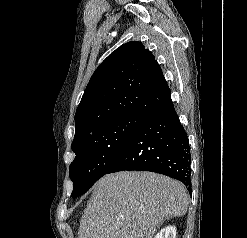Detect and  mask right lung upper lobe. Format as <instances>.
Instances as JSON below:
<instances>
[{
	"label": "right lung upper lobe",
	"instance_id": "right-lung-upper-lobe-1",
	"mask_svg": "<svg viewBox=\"0 0 247 238\" xmlns=\"http://www.w3.org/2000/svg\"><path fill=\"white\" fill-rule=\"evenodd\" d=\"M171 102L153 54L131 41L112 52L92 75L75 114L77 139L124 116L146 117Z\"/></svg>",
	"mask_w": 247,
	"mask_h": 238
}]
</instances>
